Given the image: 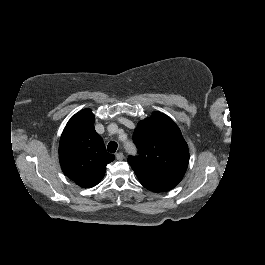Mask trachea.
I'll use <instances>...</instances> for the list:
<instances>
[{"instance_id":"trachea-1","label":"trachea","mask_w":265,"mask_h":265,"mask_svg":"<svg viewBox=\"0 0 265 265\" xmlns=\"http://www.w3.org/2000/svg\"><path fill=\"white\" fill-rule=\"evenodd\" d=\"M117 147H118L117 143L114 142V141H111V142L107 145V150H108L109 152H111V153H114V152H116Z\"/></svg>"}]
</instances>
